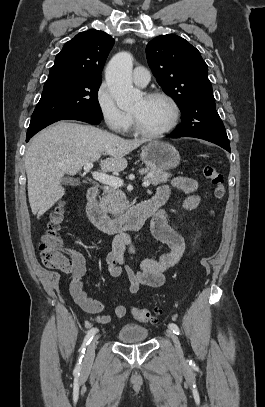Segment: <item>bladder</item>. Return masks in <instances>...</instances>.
Wrapping results in <instances>:
<instances>
[{
  "instance_id": "obj_1",
  "label": "bladder",
  "mask_w": 265,
  "mask_h": 407,
  "mask_svg": "<svg viewBox=\"0 0 265 407\" xmlns=\"http://www.w3.org/2000/svg\"><path fill=\"white\" fill-rule=\"evenodd\" d=\"M148 329L137 324L127 323L118 331L117 338L121 343L133 344L147 340Z\"/></svg>"
}]
</instances>
